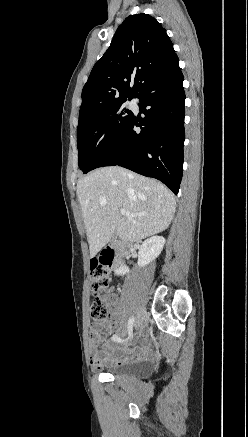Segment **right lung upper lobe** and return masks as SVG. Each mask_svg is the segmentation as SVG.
Returning a JSON list of instances; mask_svg holds the SVG:
<instances>
[{
	"label": "right lung upper lobe",
	"instance_id": "1",
	"mask_svg": "<svg viewBox=\"0 0 248 437\" xmlns=\"http://www.w3.org/2000/svg\"><path fill=\"white\" fill-rule=\"evenodd\" d=\"M175 55L166 30L155 18L144 13L128 16L83 87L78 125L95 113L135 97Z\"/></svg>",
	"mask_w": 248,
	"mask_h": 437
}]
</instances>
